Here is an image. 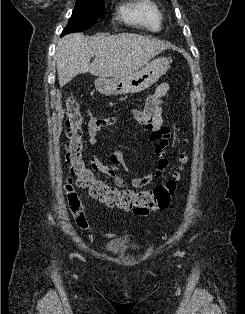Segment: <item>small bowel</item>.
I'll list each match as a JSON object with an SVG mask.
<instances>
[{
  "label": "small bowel",
  "instance_id": "1",
  "mask_svg": "<svg viewBox=\"0 0 245 314\" xmlns=\"http://www.w3.org/2000/svg\"><path fill=\"white\" fill-rule=\"evenodd\" d=\"M169 91L167 83L159 84L154 92L148 96L145 106L141 111H135L131 114L140 125H142L148 132V142L153 147L154 154L159 157L156 168L148 173L134 177L130 181L124 180L120 174V169L125 163V153L120 150L113 151L110 154L108 165L103 164L96 156L91 157L93 167L104 175L106 180L113 181L117 187L129 188L136 187L142 188L149 185L153 180L160 178L169 166V147L171 144V129L164 125L163 122V100ZM89 116L88 128V144L90 146L97 145V136L106 127L117 122V119H97L90 110H87ZM97 122L99 124L97 125ZM136 215L147 216L134 211ZM107 238H114L116 234L107 233Z\"/></svg>",
  "mask_w": 245,
  "mask_h": 314
}]
</instances>
